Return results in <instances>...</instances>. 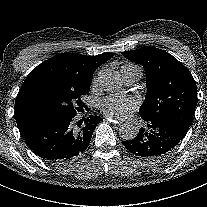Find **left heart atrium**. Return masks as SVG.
Segmentation results:
<instances>
[{
	"label": "left heart atrium",
	"mask_w": 207,
	"mask_h": 207,
	"mask_svg": "<svg viewBox=\"0 0 207 207\" xmlns=\"http://www.w3.org/2000/svg\"><path fill=\"white\" fill-rule=\"evenodd\" d=\"M139 105V100L134 97L113 95L102 100L100 108L106 116L126 119L139 108Z\"/></svg>",
	"instance_id": "1"
}]
</instances>
